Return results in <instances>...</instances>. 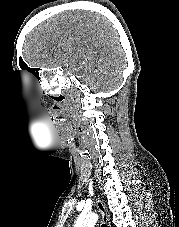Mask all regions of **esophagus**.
Segmentation results:
<instances>
[{"label": "esophagus", "mask_w": 179, "mask_h": 227, "mask_svg": "<svg viewBox=\"0 0 179 227\" xmlns=\"http://www.w3.org/2000/svg\"><path fill=\"white\" fill-rule=\"evenodd\" d=\"M96 204H97V207L99 209V212L102 216V220L103 222L108 226V227H111V224H110V217L108 215V211H107V208L105 206V203L103 202V200H101V198L98 196V198L96 199Z\"/></svg>", "instance_id": "34e87169"}]
</instances>
